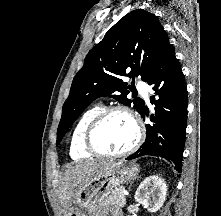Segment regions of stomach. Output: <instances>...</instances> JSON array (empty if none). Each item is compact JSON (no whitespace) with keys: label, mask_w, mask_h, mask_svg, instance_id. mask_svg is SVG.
<instances>
[{"label":"stomach","mask_w":221,"mask_h":216,"mask_svg":"<svg viewBox=\"0 0 221 216\" xmlns=\"http://www.w3.org/2000/svg\"><path fill=\"white\" fill-rule=\"evenodd\" d=\"M138 172L139 168L135 164H127L124 161L111 163L78 191L73 201L74 206L67 216H87L97 205H105V200L112 192L134 179Z\"/></svg>","instance_id":"stomach-1"}]
</instances>
